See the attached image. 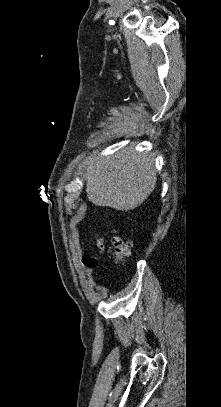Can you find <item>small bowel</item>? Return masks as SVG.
<instances>
[{"mask_svg": "<svg viewBox=\"0 0 221 407\" xmlns=\"http://www.w3.org/2000/svg\"><path fill=\"white\" fill-rule=\"evenodd\" d=\"M95 243H96V249H97L96 253H94V254L85 253L82 256L83 269L90 276L95 274L96 270L94 267H95L99 257L105 250V244L101 238L96 237ZM87 284L90 285L91 283L87 282Z\"/></svg>", "mask_w": 221, "mask_h": 407, "instance_id": "c3829d8e", "label": "small bowel"}]
</instances>
